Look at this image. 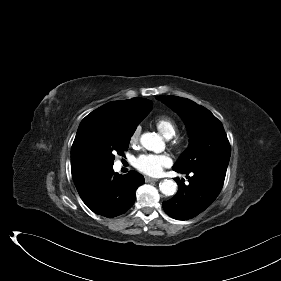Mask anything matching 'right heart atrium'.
I'll use <instances>...</instances> for the list:
<instances>
[{
  "label": "right heart atrium",
  "mask_w": 281,
  "mask_h": 281,
  "mask_svg": "<svg viewBox=\"0 0 281 281\" xmlns=\"http://www.w3.org/2000/svg\"><path fill=\"white\" fill-rule=\"evenodd\" d=\"M140 132H141V127L140 126H137L131 136H130V144L134 145L138 142L139 140V136H140Z\"/></svg>",
  "instance_id": "d8ad5b80"
}]
</instances>
